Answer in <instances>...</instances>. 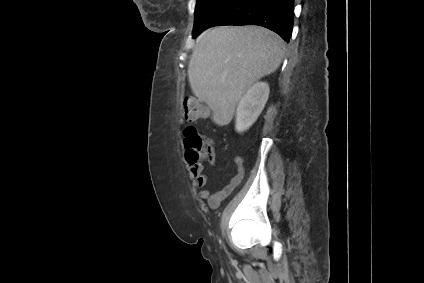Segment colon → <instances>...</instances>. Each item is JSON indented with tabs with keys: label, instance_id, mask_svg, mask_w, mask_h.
I'll return each mask as SVG.
<instances>
[{
	"label": "colon",
	"instance_id": "5ec220e1",
	"mask_svg": "<svg viewBox=\"0 0 424 283\" xmlns=\"http://www.w3.org/2000/svg\"><path fill=\"white\" fill-rule=\"evenodd\" d=\"M205 108L195 99H187L184 102L183 117L187 122H193L203 117ZM185 144L189 148L188 158L191 162H199L200 159L213 162L214 147L211 141L202 137L194 127L185 131Z\"/></svg>",
	"mask_w": 424,
	"mask_h": 283
}]
</instances>
